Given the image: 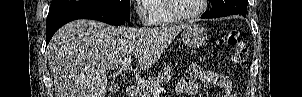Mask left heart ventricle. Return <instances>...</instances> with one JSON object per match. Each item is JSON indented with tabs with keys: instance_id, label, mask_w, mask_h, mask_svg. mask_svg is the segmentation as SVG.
Wrapping results in <instances>:
<instances>
[{
	"instance_id": "obj_1",
	"label": "left heart ventricle",
	"mask_w": 302,
	"mask_h": 97,
	"mask_svg": "<svg viewBox=\"0 0 302 97\" xmlns=\"http://www.w3.org/2000/svg\"><path fill=\"white\" fill-rule=\"evenodd\" d=\"M176 11L180 14H190L200 7V0H174Z\"/></svg>"
}]
</instances>
